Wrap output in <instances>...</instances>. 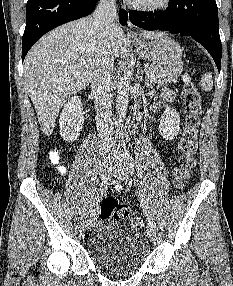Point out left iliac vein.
I'll return each mask as SVG.
<instances>
[{
    "label": "left iliac vein",
    "instance_id": "obj_1",
    "mask_svg": "<svg viewBox=\"0 0 233 286\" xmlns=\"http://www.w3.org/2000/svg\"><path fill=\"white\" fill-rule=\"evenodd\" d=\"M112 174L115 178H117L120 181H125L128 179L129 170L125 164V161L123 160L122 155L117 154L115 157V162L112 167ZM147 235L150 241L156 240V230L153 224L147 225Z\"/></svg>",
    "mask_w": 233,
    "mask_h": 286
}]
</instances>
